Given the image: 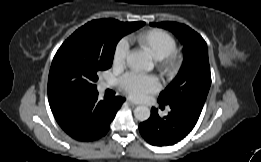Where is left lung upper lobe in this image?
<instances>
[{"label":"left lung upper lobe","instance_id":"1","mask_svg":"<svg viewBox=\"0 0 261 162\" xmlns=\"http://www.w3.org/2000/svg\"><path fill=\"white\" fill-rule=\"evenodd\" d=\"M173 32L184 45V62L176 78L159 95L158 102L171 105L186 100L203 108L211 85L208 49L190 27L176 22L150 23Z\"/></svg>","mask_w":261,"mask_h":162}]
</instances>
